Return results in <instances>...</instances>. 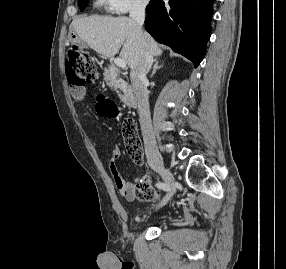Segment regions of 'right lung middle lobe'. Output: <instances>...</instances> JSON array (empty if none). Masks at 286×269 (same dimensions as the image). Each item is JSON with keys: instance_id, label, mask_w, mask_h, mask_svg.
Instances as JSON below:
<instances>
[{"instance_id": "1", "label": "right lung middle lobe", "mask_w": 286, "mask_h": 269, "mask_svg": "<svg viewBox=\"0 0 286 269\" xmlns=\"http://www.w3.org/2000/svg\"><path fill=\"white\" fill-rule=\"evenodd\" d=\"M87 2H88V0H78L79 7H80L81 11L85 8V6L87 5ZM151 2H154V0H151Z\"/></svg>"}]
</instances>
